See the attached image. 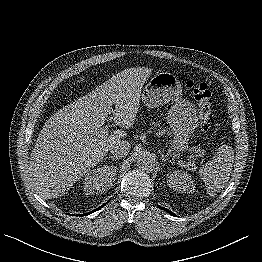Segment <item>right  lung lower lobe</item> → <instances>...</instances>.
I'll list each match as a JSON object with an SVG mask.
<instances>
[{
    "mask_svg": "<svg viewBox=\"0 0 262 262\" xmlns=\"http://www.w3.org/2000/svg\"><path fill=\"white\" fill-rule=\"evenodd\" d=\"M109 202V201H108ZM105 204H103L102 206H100L98 209L102 208ZM96 209V210H98ZM96 210H93L92 212H89V213H86V214H82L81 216H84V215H88V214H91L93 212H95ZM78 216V215H77Z\"/></svg>",
    "mask_w": 262,
    "mask_h": 262,
    "instance_id": "1",
    "label": "right lung lower lobe"
}]
</instances>
